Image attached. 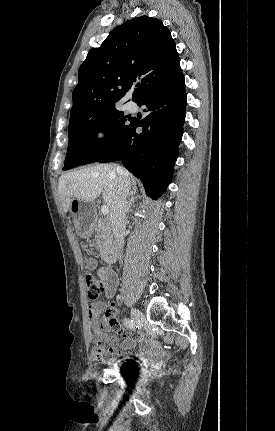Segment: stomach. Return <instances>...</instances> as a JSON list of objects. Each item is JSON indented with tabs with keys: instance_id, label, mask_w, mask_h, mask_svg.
I'll use <instances>...</instances> for the list:
<instances>
[{
	"instance_id": "0dacf381",
	"label": "stomach",
	"mask_w": 275,
	"mask_h": 431,
	"mask_svg": "<svg viewBox=\"0 0 275 431\" xmlns=\"http://www.w3.org/2000/svg\"><path fill=\"white\" fill-rule=\"evenodd\" d=\"M69 211L73 216L76 231L81 237H89L95 229L93 207L89 202L73 198Z\"/></svg>"
}]
</instances>
